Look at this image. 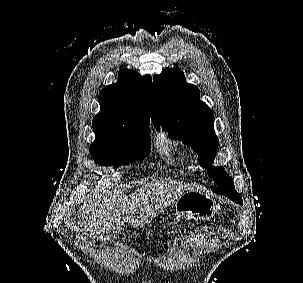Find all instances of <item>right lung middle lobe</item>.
Returning <instances> with one entry per match:
<instances>
[{
  "label": "right lung middle lobe",
  "instance_id": "right-lung-middle-lobe-1",
  "mask_svg": "<svg viewBox=\"0 0 303 283\" xmlns=\"http://www.w3.org/2000/svg\"><path fill=\"white\" fill-rule=\"evenodd\" d=\"M90 145L94 161L101 166H121L143 160L150 153L148 124L128 126L116 130L94 131Z\"/></svg>",
  "mask_w": 303,
  "mask_h": 283
}]
</instances>
